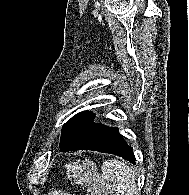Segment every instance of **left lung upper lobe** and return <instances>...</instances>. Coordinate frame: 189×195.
<instances>
[{
  "mask_svg": "<svg viewBox=\"0 0 189 195\" xmlns=\"http://www.w3.org/2000/svg\"><path fill=\"white\" fill-rule=\"evenodd\" d=\"M94 116L93 112L82 111L66 122L62 127L60 146L66 144L75 133L92 117Z\"/></svg>",
  "mask_w": 189,
  "mask_h": 195,
  "instance_id": "1",
  "label": "left lung upper lobe"
}]
</instances>
